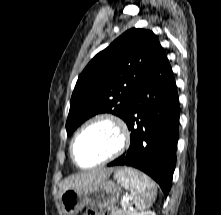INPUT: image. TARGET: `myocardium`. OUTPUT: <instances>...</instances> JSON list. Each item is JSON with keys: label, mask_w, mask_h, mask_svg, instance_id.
Wrapping results in <instances>:
<instances>
[{"label": "myocardium", "mask_w": 221, "mask_h": 215, "mask_svg": "<svg viewBox=\"0 0 221 215\" xmlns=\"http://www.w3.org/2000/svg\"><path fill=\"white\" fill-rule=\"evenodd\" d=\"M99 123H105V124L111 125L116 130L118 134V139H119L118 145L113 152H111L108 156L101 159L100 161L92 165H88V166L80 165L77 162L75 153H74V146H75L76 140L86 129H88L92 125L99 124ZM129 143H130V131L125 121L120 116L114 113L104 112V113H100L91 117L77 129V131L74 133L71 139L69 152H70V157L72 159V162L77 167L81 169H92V168L101 166L103 164H106L116 159L120 155H122L127 150Z\"/></svg>", "instance_id": "obj_1"}]
</instances>
